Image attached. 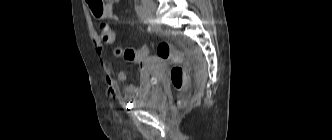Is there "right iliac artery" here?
I'll return each instance as SVG.
<instances>
[{
  "mask_svg": "<svg viewBox=\"0 0 332 140\" xmlns=\"http://www.w3.org/2000/svg\"><path fill=\"white\" fill-rule=\"evenodd\" d=\"M135 11H136L137 15L139 16V18L141 20L146 21L147 14H146L145 9L143 8V6L136 5L135 6Z\"/></svg>",
  "mask_w": 332,
  "mask_h": 140,
  "instance_id": "82829eb1",
  "label": "right iliac artery"
}]
</instances>
